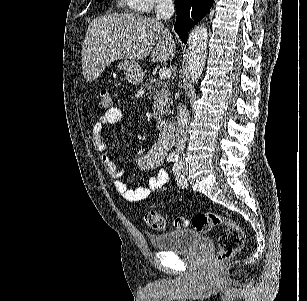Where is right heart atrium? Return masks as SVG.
<instances>
[{
	"instance_id": "1",
	"label": "right heart atrium",
	"mask_w": 307,
	"mask_h": 301,
	"mask_svg": "<svg viewBox=\"0 0 307 301\" xmlns=\"http://www.w3.org/2000/svg\"><path fill=\"white\" fill-rule=\"evenodd\" d=\"M134 11H157V7H162V0H133Z\"/></svg>"
}]
</instances>
